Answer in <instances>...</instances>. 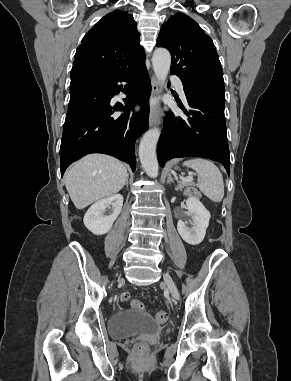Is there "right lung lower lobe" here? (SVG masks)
Masks as SVG:
<instances>
[{
    "label": "right lung lower lobe",
    "mask_w": 291,
    "mask_h": 381,
    "mask_svg": "<svg viewBox=\"0 0 291 381\" xmlns=\"http://www.w3.org/2000/svg\"><path fill=\"white\" fill-rule=\"evenodd\" d=\"M119 82H126L123 85ZM126 94L124 105L114 104L115 94ZM151 82L145 60L113 75L71 72L70 102L60 147L61 176L66 168L82 156L104 153L136 168L134 144L148 129L147 99ZM142 104L138 113L124 111Z\"/></svg>",
    "instance_id": "obj_1"
}]
</instances>
